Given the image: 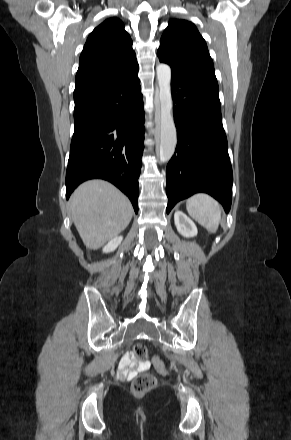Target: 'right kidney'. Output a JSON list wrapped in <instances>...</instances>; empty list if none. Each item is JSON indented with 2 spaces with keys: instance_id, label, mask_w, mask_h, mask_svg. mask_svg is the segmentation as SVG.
<instances>
[{
  "instance_id": "right-kidney-1",
  "label": "right kidney",
  "mask_w": 291,
  "mask_h": 440,
  "mask_svg": "<svg viewBox=\"0 0 291 440\" xmlns=\"http://www.w3.org/2000/svg\"><path fill=\"white\" fill-rule=\"evenodd\" d=\"M123 237L122 236H116L113 239H111L103 248L104 253H109L114 251L122 242Z\"/></svg>"
}]
</instances>
